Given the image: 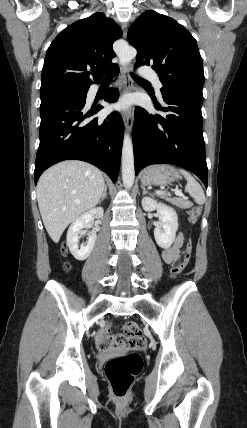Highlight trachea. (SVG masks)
<instances>
[{"instance_id":"3493384b","label":"trachea","mask_w":247,"mask_h":428,"mask_svg":"<svg viewBox=\"0 0 247 428\" xmlns=\"http://www.w3.org/2000/svg\"><path fill=\"white\" fill-rule=\"evenodd\" d=\"M132 75V77L135 79V80H137V81H144V82H146L144 79H142V78H140V77H138L137 75H135V74H131ZM113 78V75H111V74H106V77H105V80H111Z\"/></svg>"}]
</instances>
